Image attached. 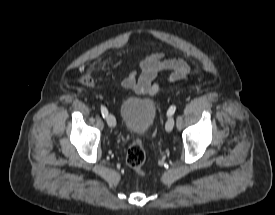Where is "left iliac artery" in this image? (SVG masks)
Listing matches in <instances>:
<instances>
[{"label":"left iliac artery","mask_w":275,"mask_h":215,"mask_svg":"<svg viewBox=\"0 0 275 215\" xmlns=\"http://www.w3.org/2000/svg\"><path fill=\"white\" fill-rule=\"evenodd\" d=\"M175 110H176V106H171L167 111V115L172 116L174 114Z\"/></svg>","instance_id":"left-iliac-artery-1"}]
</instances>
